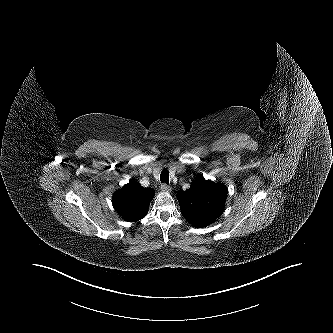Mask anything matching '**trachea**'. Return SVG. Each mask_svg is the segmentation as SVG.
I'll use <instances>...</instances> for the list:
<instances>
[{"label":"trachea","instance_id":"obj_1","mask_svg":"<svg viewBox=\"0 0 333 333\" xmlns=\"http://www.w3.org/2000/svg\"><path fill=\"white\" fill-rule=\"evenodd\" d=\"M160 180L162 183L169 184V171L164 169L160 174Z\"/></svg>","mask_w":333,"mask_h":333}]
</instances>
